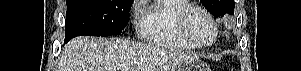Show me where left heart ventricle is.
I'll return each instance as SVG.
<instances>
[{
  "mask_svg": "<svg viewBox=\"0 0 301 71\" xmlns=\"http://www.w3.org/2000/svg\"><path fill=\"white\" fill-rule=\"evenodd\" d=\"M189 30L193 38L199 43L212 40L214 30L209 20L200 12H193L189 19Z\"/></svg>",
  "mask_w": 301,
  "mask_h": 71,
  "instance_id": "obj_1",
  "label": "left heart ventricle"
}]
</instances>
